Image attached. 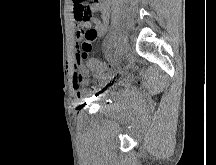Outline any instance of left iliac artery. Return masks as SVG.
Segmentation results:
<instances>
[{"mask_svg": "<svg viewBox=\"0 0 216 165\" xmlns=\"http://www.w3.org/2000/svg\"><path fill=\"white\" fill-rule=\"evenodd\" d=\"M115 39H116L115 34L112 33L107 43V52L111 48L112 44L115 42Z\"/></svg>", "mask_w": 216, "mask_h": 165, "instance_id": "44dca946", "label": "left iliac artery"}]
</instances>
